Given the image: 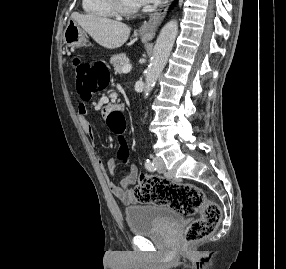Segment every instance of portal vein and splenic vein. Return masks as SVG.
Returning a JSON list of instances; mask_svg holds the SVG:
<instances>
[{
	"label": "portal vein and splenic vein",
	"mask_w": 286,
	"mask_h": 269,
	"mask_svg": "<svg viewBox=\"0 0 286 269\" xmlns=\"http://www.w3.org/2000/svg\"><path fill=\"white\" fill-rule=\"evenodd\" d=\"M132 66L131 64H127L123 69H122V73H128L130 72Z\"/></svg>",
	"instance_id": "portal-vein-and-splenic-vein-1"
}]
</instances>
